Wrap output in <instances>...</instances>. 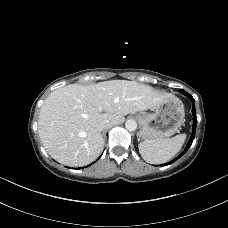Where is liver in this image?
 Segmentation results:
<instances>
[{
	"instance_id": "6515ba94",
	"label": "liver",
	"mask_w": 228,
	"mask_h": 228,
	"mask_svg": "<svg viewBox=\"0 0 228 228\" xmlns=\"http://www.w3.org/2000/svg\"><path fill=\"white\" fill-rule=\"evenodd\" d=\"M169 96L127 80L90 86L70 84L54 90L44 101L38 121L39 137L56 161L85 166L96 160L104 147L98 123L120 124L129 113L151 109Z\"/></svg>"
}]
</instances>
